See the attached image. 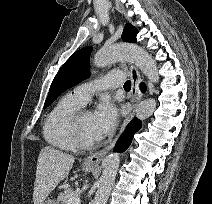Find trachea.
Listing matches in <instances>:
<instances>
[{"mask_svg": "<svg viewBox=\"0 0 212 204\" xmlns=\"http://www.w3.org/2000/svg\"><path fill=\"white\" fill-rule=\"evenodd\" d=\"M124 89L125 90H130L131 89V81H126L124 84Z\"/></svg>", "mask_w": 212, "mask_h": 204, "instance_id": "1", "label": "trachea"}]
</instances>
